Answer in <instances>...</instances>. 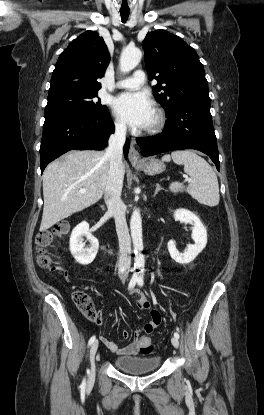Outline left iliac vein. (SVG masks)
<instances>
[{
  "label": "left iliac vein",
  "mask_w": 264,
  "mask_h": 415,
  "mask_svg": "<svg viewBox=\"0 0 264 415\" xmlns=\"http://www.w3.org/2000/svg\"><path fill=\"white\" fill-rule=\"evenodd\" d=\"M171 343H172V345H173L175 348H178V347H179V339H178V338H176L175 336H173V337L171 338Z\"/></svg>",
  "instance_id": "4c4485c4"
}]
</instances>
